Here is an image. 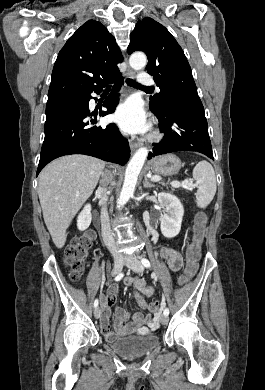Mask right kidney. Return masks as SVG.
I'll return each instance as SVG.
<instances>
[{"label":"right kidney","instance_id":"obj_1","mask_svg":"<svg viewBox=\"0 0 265 390\" xmlns=\"http://www.w3.org/2000/svg\"><path fill=\"white\" fill-rule=\"evenodd\" d=\"M92 220V215H91V205L86 204L83 208V210L80 212L77 218V227L80 231L86 230Z\"/></svg>","mask_w":265,"mask_h":390}]
</instances>
